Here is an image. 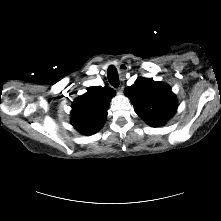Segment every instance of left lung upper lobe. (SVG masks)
I'll use <instances>...</instances> for the list:
<instances>
[{
    "instance_id": "1",
    "label": "left lung upper lobe",
    "mask_w": 221,
    "mask_h": 221,
    "mask_svg": "<svg viewBox=\"0 0 221 221\" xmlns=\"http://www.w3.org/2000/svg\"><path fill=\"white\" fill-rule=\"evenodd\" d=\"M135 112L150 126L158 127L176 112L177 100L170 87L148 78H138L125 88Z\"/></svg>"
}]
</instances>
